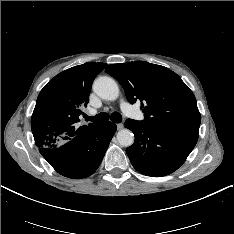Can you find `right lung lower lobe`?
I'll list each match as a JSON object with an SVG mask.
<instances>
[{
  "label": "right lung lower lobe",
  "instance_id": "obj_1",
  "mask_svg": "<svg viewBox=\"0 0 234 234\" xmlns=\"http://www.w3.org/2000/svg\"><path fill=\"white\" fill-rule=\"evenodd\" d=\"M115 132L112 122L94 124L65 143L39 151L59 174L84 178L97 170Z\"/></svg>",
  "mask_w": 234,
  "mask_h": 234
}]
</instances>
